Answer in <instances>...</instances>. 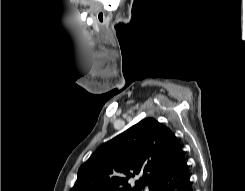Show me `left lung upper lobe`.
Returning a JSON list of instances; mask_svg holds the SVG:
<instances>
[{
	"mask_svg": "<svg viewBox=\"0 0 245 191\" xmlns=\"http://www.w3.org/2000/svg\"><path fill=\"white\" fill-rule=\"evenodd\" d=\"M181 151L168 127L145 118L100 146L81 165L70 191H142L146 186L152 191Z\"/></svg>",
	"mask_w": 245,
	"mask_h": 191,
	"instance_id": "obj_1",
	"label": "left lung upper lobe"
}]
</instances>
